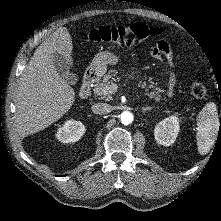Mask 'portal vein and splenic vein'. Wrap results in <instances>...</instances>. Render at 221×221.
Segmentation results:
<instances>
[{
    "instance_id": "obj_1",
    "label": "portal vein and splenic vein",
    "mask_w": 221,
    "mask_h": 221,
    "mask_svg": "<svg viewBox=\"0 0 221 221\" xmlns=\"http://www.w3.org/2000/svg\"><path fill=\"white\" fill-rule=\"evenodd\" d=\"M117 88H118V86L114 83L111 84V86H110V89H111L112 92H116Z\"/></svg>"
}]
</instances>
